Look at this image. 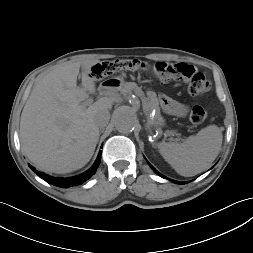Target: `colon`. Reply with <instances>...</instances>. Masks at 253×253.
<instances>
[{"instance_id": "1", "label": "colon", "mask_w": 253, "mask_h": 253, "mask_svg": "<svg viewBox=\"0 0 253 253\" xmlns=\"http://www.w3.org/2000/svg\"><path fill=\"white\" fill-rule=\"evenodd\" d=\"M120 71L151 73L155 77L169 81L179 80L187 85L191 95H201L210 89V82L205 75L187 63L156 62L151 65L139 59H117L97 63L92 68V76L99 80ZM207 118L206 110L196 105L191 109L190 120L193 124H202Z\"/></svg>"}]
</instances>
